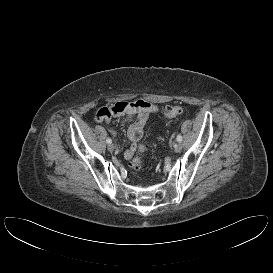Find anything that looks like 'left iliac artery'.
Here are the masks:
<instances>
[{"label": "left iliac artery", "mask_w": 273, "mask_h": 273, "mask_svg": "<svg viewBox=\"0 0 273 273\" xmlns=\"http://www.w3.org/2000/svg\"><path fill=\"white\" fill-rule=\"evenodd\" d=\"M176 139H177L178 142H181V141H182V136H181V134H178Z\"/></svg>", "instance_id": "1"}]
</instances>
